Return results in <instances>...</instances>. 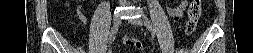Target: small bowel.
<instances>
[{
	"mask_svg": "<svg viewBox=\"0 0 253 53\" xmlns=\"http://www.w3.org/2000/svg\"><path fill=\"white\" fill-rule=\"evenodd\" d=\"M187 4H188L187 1H182L178 7H169L167 11L174 19H178L179 17L182 16L183 11L186 8ZM79 19L81 20L82 23L86 22V18L81 13H79Z\"/></svg>",
	"mask_w": 253,
	"mask_h": 53,
	"instance_id": "c3829d8e",
	"label": "small bowel"
}]
</instances>
